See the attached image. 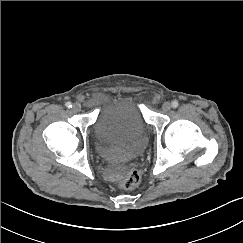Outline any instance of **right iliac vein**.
I'll return each instance as SVG.
<instances>
[{
    "mask_svg": "<svg viewBox=\"0 0 243 243\" xmlns=\"http://www.w3.org/2000/svg\"><path fill=\"white\" fill-rule=\"evenodd\" d=\"M72 111L73 112H80L81 111V106L79 105V104H74L73 106H72Z\"/></svg>",
    "mask_w": 243,
    "mask_h": 243,
    "instance_id": "63e3f726",
    "label": "right iliac vein"
}]
</instances>
